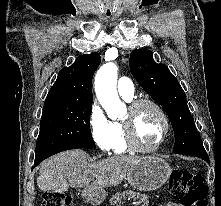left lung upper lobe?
Returning <instances> with one entry per match:
<instances>
[{
  "instance_id": "obj_1",
  "label": "left lung upper lobe",
  "mask_w": 221,
  "mask_h": 206,
  "mask_svg": "<svg viewBox=\"0 0 221 206\" xmlns=\"http://www.w3.org/2000/svg\"><path fill=\"white\" fill-rule=\"evenodd\" d=\"M129 66L141 87L165 108L175 133L174 153L207 155L187 106L186 95L168 67L157 64L152 51L145 49L131 52Z\"/></svg>"
}]
</instances>
